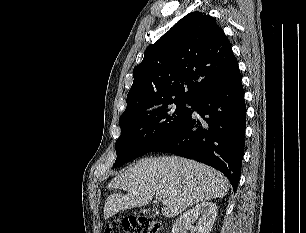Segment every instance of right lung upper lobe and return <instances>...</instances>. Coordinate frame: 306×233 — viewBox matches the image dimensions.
I'll list each match as a JSON object with an SVG mask.
<instances>
[{"mask_svg":"<svg viewBox=\"0 0 306 233\" xmlns=\"http://www.w3.org/2000/svg\"><path fill=\"white\" fill-rule=\"evenodd\" d=\"M239 73L228 38L215 19L191 12L146 49L143 61L133 69L122 115L164 99L196 104Z\"/></svg>","mask_w":306,"mask_h":233,"instance_id":"obj_1","label":"right lung upper lobe"}]
</instances>
